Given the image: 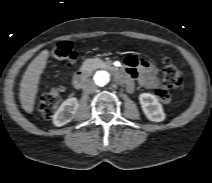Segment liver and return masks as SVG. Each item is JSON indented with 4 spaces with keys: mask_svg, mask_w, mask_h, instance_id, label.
<instances>
[{
    "mask_svg": "<svg viewBox=\"0 0 212 183\" xmlns=\"http://www.w3.org/2000/svg\"><path fill=\"white\" fill-rule=\"evenodd\" d=\"M48 50L42 51L28 66L20 83V102L27 113H32L41 74L48 58Z\"/></svg>",
    "mask_w": 212,
    "mask_h": 183,
    "instance_id": "1",
    "label": "liver"
}]
</instances>
